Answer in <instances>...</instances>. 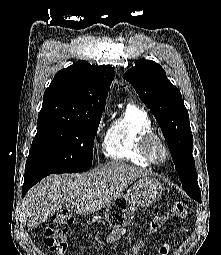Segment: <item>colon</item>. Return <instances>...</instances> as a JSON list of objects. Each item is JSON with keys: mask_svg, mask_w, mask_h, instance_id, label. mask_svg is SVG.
Returning a JSON list of instances; mask_svg holds the SVG:
<instances>
[{"mask_svg": "<svg viewBox=\"0 0 221 255\" xmlns=\"http://www.w3.org/2000/svg\"><path fill=\"white\" fill-rule=\"evenodd\" d=\"M188 206L183 201H177L173 207L162 216L153 218L149 225L150 233L157 232L167 221L176 218H185ZM73 215L66 210L56 213L52 222L44 228V243L56 255H66L68 251V229L73 225Z\"/></svg>", "mask_w": 221, "mask_h": 255, "instance_id": "5ec220e1", "label": "colon"}]
</instances>
